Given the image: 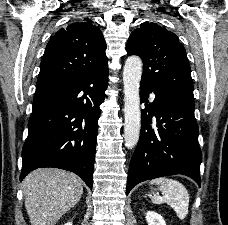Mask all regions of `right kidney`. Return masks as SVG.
<instances>
[{"instance_id": "1", "label": "right kidney", "mask_w": 228, "mask_h": 225, "mask_svg": "<svg viewBox=\"0 0 228 225\" xmlns=\"http://www.w3.org/2000/svg\"><path fill=\"white\" fill-rule=\"evenodd\" d=\"M65 225H73V223H65Z\"/></svg>"}]
</instances>
